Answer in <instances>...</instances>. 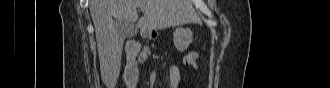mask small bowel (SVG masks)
I'll return each instance as SVG.
<instances>
[{
    "instance_id": "obj_1",
    "label": "small bowel",
    "mask_w": 330,
    "mask_h": 88,
    "mask_svg": "<svg viewBox=\"0 0 330 88\" xmlns=\"http://www.w3.org/2000/svg\"><path fill=\"white\" fill-rule=\"evenodd\" d=\"M128 66V64H127ZM130 69L135 70V65H131ZM182 79V72L178 66H172L169 69V76H168V81H169V87L170 88H178L179 84Z\"/></svg>"
}]
</instances>
